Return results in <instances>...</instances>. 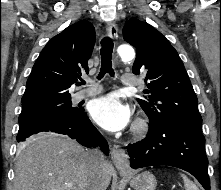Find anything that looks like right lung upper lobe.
Masks as SVG:
<instances>
[{
  "mask_svg": "<svg viewBox=\"0 0 221 190\" xmlns=\"http://www.w3.org/2000/svg\"><path fill=\"white\" fill-rule=\"evenodd\" d=\"M95 44L94 26L79 21L53 37L43 48L26 83L22 107L71 98L68 88L88 73Z\"/></svg>",
  "mask_w": 221,
  "mask_h": 190,
  "instance_id": "obj_1",
  "label": "right lung upper lobe"
}]
</instances>
